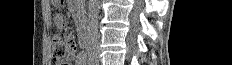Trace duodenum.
<instances>
[{
  "mask_svg": "<svg viewBox=\"0 0 232 65\" xmlns=\"http://www.w3.org/2000/svg\"><path fill=\"white\" fill-rule=\"evenodd\" d=\"M79 44L82 48H86L87 46V32L82 29L79 35Z\"/></svg>",
  "mask_w": 232,
  "mask_h": 65,
  "instance_id": "duodenum-1",
  "label": "duodenum"
}]
</instances>
